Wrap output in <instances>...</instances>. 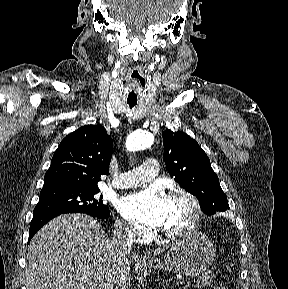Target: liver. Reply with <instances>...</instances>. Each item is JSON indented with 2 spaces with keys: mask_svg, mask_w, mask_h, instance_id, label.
<instances>
[{
  "mask_svg": "<svg viewBox=\"0 0 288 289\" xmlns=\"http://www.w3.org/2000/svg\"><path fill=\"white\" fill-rule=\"evenodd\" d=\"M165 248L154 250L160 254ZM131 258L114 260L110 240L97 219L85 214H63L48 222L32 238L26 257L29 289H96L106 274L115 289L130 284Z\"/></svg>",
  "mask_w": 288,
  "mask_h": 289,
  "instance_id": "liver-1",
  "label": "liver"
}]
</instances>
